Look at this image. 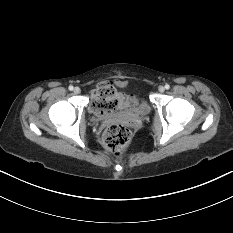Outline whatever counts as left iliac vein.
<instances>
[{
  "label": "left iliac vein",
  "mask_w": 233,
  "mask_h": 233,
  "mask_svg": "<svg viewBox=\"0 0 233 233\" xmlns=\"http://www.w3.org/2000/svg\"><path fill=\"white\" fill-rule=\"evenodd\" d=\"M158 90L159 92L163 93L165 91V88L163 86H159Z\"/></svg>",
  "instance_id": "1"
}]
</instances>
